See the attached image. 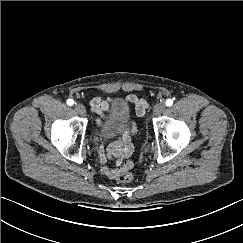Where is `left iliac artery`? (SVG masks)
Returning a JSON list of instances; mask_svg holds the SVG:
<instances>
[{
    "mask_svg": "<svg viewBox=\"0 0 243 243\" xmlns=\"http://www.w3.org/2000/svg\"><path fill=\"white\" fill-rule=\"evenodd\" d=\"M165 104H166V106H171L173 104V100L167 99Z\"/></svg>",
    "mask_w": 243,
    "mask_h": 243,
    "instance_id": "left-iliac-artery-1",
    "label": "left iliac artery"
}]
</instances>
